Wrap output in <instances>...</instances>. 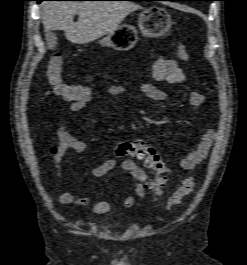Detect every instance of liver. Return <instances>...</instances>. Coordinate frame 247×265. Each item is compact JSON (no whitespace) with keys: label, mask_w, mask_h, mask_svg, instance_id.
Masks as SVG:
<instances>
[{"label":"liver","mask_w":247,"mask_h":265,"mask_svg":"<svg viewBox=\"0 0 247 265\" xmlns=\"http://www.w3.org/2000/svg\"><path fill=\"white\" fill-rule=\"evenodd\" d=\"M45 31L63 30L68 41L90 43L114 31L131 12L140 9L129 1H50L42 4ZM78 14L79 20L73 18Z\"/></svg>","instance_id":"liver-1"}]
</instances>
